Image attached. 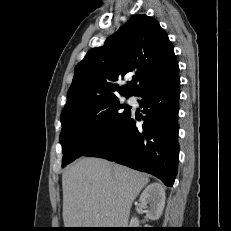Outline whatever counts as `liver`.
<instances>
[{
	"mask_svg": "<svg viewBox=\"0 0 231 231\" xmlns=\"http://www.w3.org/2000/svg\"><path fill=\"white\" fill-rule=\"evenodd\" d=\"M146 175L100 158H81L62 175L65 228H127Z\"/></svg>",
	"mask_w": 231,
	"mask_h": 231,
	"instance_id": "liver-1",
	"label": "liver"
}]
</instances>
